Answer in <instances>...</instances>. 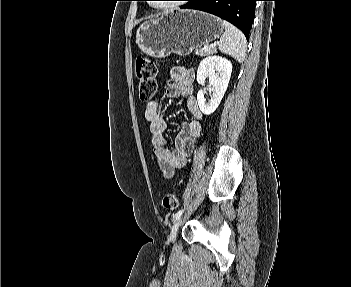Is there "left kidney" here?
<instances>
[{"label":"left kidney","mask_w":351,"mask_h":287,"mask_svg":"<svg viewBox=\"0 0 351 287\" xmlns=\"http://www.w3.org/2000/svg\"><path fill=\"white\" fill-rule=\"evenodd\" d=\"M232 73V63L228 59L211 55L204 58L197 70V82L201 85L205 83V79L209 78L212 92L210 100L206 102L205 91L200 90L197 93V101L200 110L205 115L212 114L219 106L226 90Z\"/></svg>","instance_id":"1"}]
</instances>
